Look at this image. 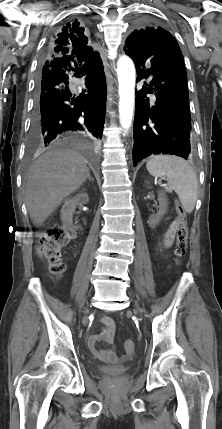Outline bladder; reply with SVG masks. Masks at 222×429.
<instances>
[{
	"label": "bladder",
	"mask_w": 222,
	"mask_h": 429,
	"mask_svg": "<svg viewBox=\"0 0 222 429\" xmlns=\"http://www.w3.org/2000/svg\"><path fill=\"white\" fill-rule=\"evenodd\" d=\"M130 369L129 365L126 366H97V372L104 377H122L124 376Z\"/></svg>",
	"instance_id": "1"
}]
</instances>
